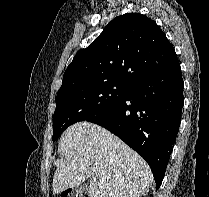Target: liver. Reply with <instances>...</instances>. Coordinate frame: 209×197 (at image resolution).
<instances>
[{"label":"liver","mask_w":209,"mask_h":197,"mask_svg":"<svg viewBox=\"0 0 209 197\" xmlns=\"http://www.w3.org/2000/svg\"><path fill=\"white\" fill-rule=\"evenodd\" d=\"M65 154L53 177V194L89 178V197H142L153 176L145 160L105 128L82 121L67 128L59 142ZM96 169V171H94Z\"/></svg>","instance_id":"liver-1"}]
</instances>
